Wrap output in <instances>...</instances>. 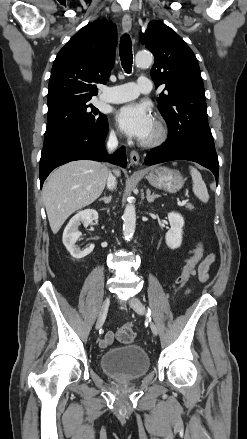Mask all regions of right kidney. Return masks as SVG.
I'll list each match as a JSON object with an SVG mask.
<instances>
[{"label":"right kidney","instance_id":"1","mask_svg":"<svg viewBox=\"0 0 247 439\" xmlns=\"http://www.w3.org/2000/svg\"><path fill=\"white\" fill-rule=\"evenodd\" d=\"M99 218L98 212L94 209H86L78 212L74 215L63 232V244L66 249L70 252L71 256L76 259H81L90 254L94 245H90L89 247L81 250L78 246H76V241L81 235V232L78 231V227L81 224L88 225L92 223L93 220H97Z\"/></svg>","mask_w":247,"mask_h":439}]
</instances>
